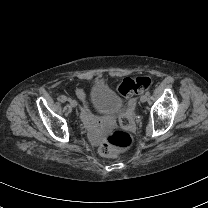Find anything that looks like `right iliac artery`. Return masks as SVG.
<instances>
[{
    "label": "right iliac artery",
    "mask_w": 208,
    "mask_h": 208,
    "mask_svg": "<svg viewBox=\"0 0 208 208\" xmlns=\"http://www.w3.org/2000/svg\"><path fill=\"white\" fill-rule=\"evenodd\" d=\"M67 101H68V102H71V101H72V99H71V98H67Z\"/></svg>",
    "instance_id": "82829eb1"
}]
</instances>
